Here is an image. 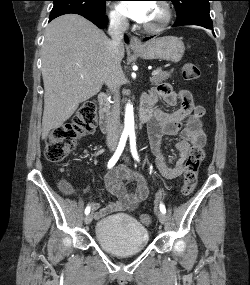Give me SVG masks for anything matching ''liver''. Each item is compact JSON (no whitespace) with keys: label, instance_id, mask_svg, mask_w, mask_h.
Here are the masks:
<instances>
[{"label":"liver","instance_id":"liver-1","mask_svg":"<svg viewBox=\"0 0 250 285\" xmlns=\"http://www.w3.org/2000/svg\"><path fill=\"white\" fill-rule=\"evenodd\" d=\"M108 42L103 31L76 14L60 16L47 26L42 46L43 139L101 90ZM120 54L123 58L124 45Z\"/></svg>","mask_w":250,"mask_h":285}]
</instances>
